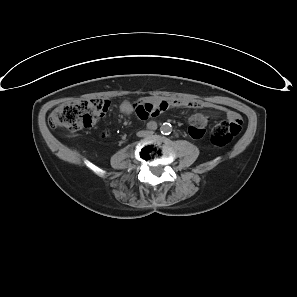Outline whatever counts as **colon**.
Segmentation results:
<instances>
[{"label": "colon", "instance_id": "5ec220e1", "mask_svg": "<svg viewBox=\"0 0 297 297\" xmlns=\"http://www.w3.org/2000/svg\"><path fill=\"white\" fill-rule=\"evenodd\" d=\"M109 101L102 98L79 99L64 103L49 115L52 128H65L71 132L94 126L108 111ZM239 115L216 124L211 131V141L217 146L227 145L241 130Z\"/></svg>", "mask_w": 297, "mask_h": 297}]
</instances>
